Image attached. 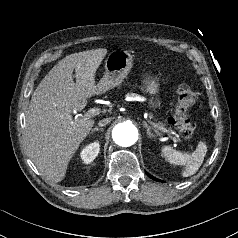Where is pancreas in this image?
<instances>
[{"instance_id":"1","label":"pancreas","mask_w":238,"mask_h":238,"mask_svg":"<svg viewBox=\"0 0 238 238\" xmlns=\"http://www.w3.org/2000/svg\"><path fill=\"white\" fill-rule=\"evenodd\" d=\"M131 96H134V94H131ZM157 125V127H158V129H165V128H163L162 127V125L161 124H156ZM167 130V129H166ZM170 130H168V132H169Z\"/></svg>"}]
</instances>
